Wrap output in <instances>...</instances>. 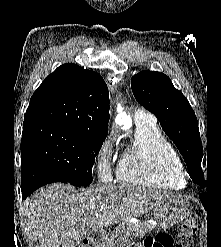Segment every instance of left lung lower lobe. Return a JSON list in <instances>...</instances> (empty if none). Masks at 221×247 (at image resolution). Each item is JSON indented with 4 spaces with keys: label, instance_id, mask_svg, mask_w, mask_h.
Wrapping results in <instances>:
<instances>
[{
    "label": "left lung lower lobe",
    "instance_id": "1",
    "mask_svg": "<svg viewBox=\"0 0 221 247\" xmlns=\"http://www.w3.org/2000/svg\"><path fill=\"white\" fill-rule=\"evenodd\" d=\"M199 198L202 202V204L205 206L208 200V194L207 193H203L199 195Z\"/></svg>",
    "mask_w": 221,
    "mask_h": 247
}]
</instances>
